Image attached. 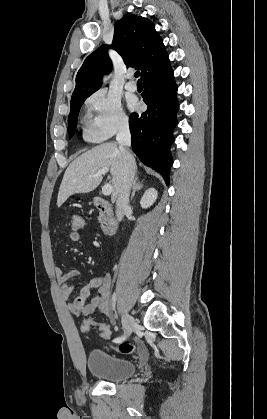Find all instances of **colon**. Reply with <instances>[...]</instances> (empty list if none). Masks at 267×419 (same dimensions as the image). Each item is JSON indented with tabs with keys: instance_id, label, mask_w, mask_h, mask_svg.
<instances>
[{
	"instance_id": "1",
	"label": "colon",
	"mask_w": 267,
	"mask_h": 419,
	"mask_svg": "<svg viewBox=\"0 0 267 419\" xmlns=\"http://www.w3.org/2000/svg\"><path fill=\"white\" fill-rule=\"evenodd\" d=\"M85 224V218L81 215H75L70 221V228L73 232H79ZM96 327L101 334V336L107 340L111 336L110 327L106 324H96L91 319H86L81 323V330L83 332H88L91 328ZM138 349L137 345L133 343H122L118 346V352L123 355H129L134 353Z\"/></svg>"
}]
</instances>
